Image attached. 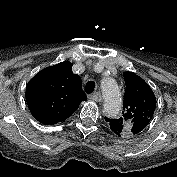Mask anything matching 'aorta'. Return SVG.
Segmentation results:
<instances>
[{"mask_svg":"<svg viewBox=\"0 0 177 177\" xmlns=\"http://www.w3.org/2000/svg\"><path fill=\"white\" fill-rule=\"evenodd\" d=\"M101 89L104 96L103 112L109 117H115L121 110V94L116 82L106 78L101 82Z\"/></svg>","mask_w":177,"mask_h":177,"instance_id":"762f6f07","label":"aorta"}]
</instances>
